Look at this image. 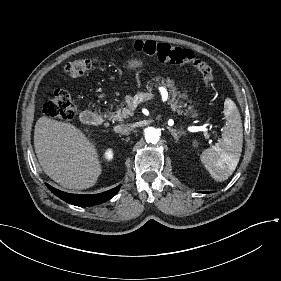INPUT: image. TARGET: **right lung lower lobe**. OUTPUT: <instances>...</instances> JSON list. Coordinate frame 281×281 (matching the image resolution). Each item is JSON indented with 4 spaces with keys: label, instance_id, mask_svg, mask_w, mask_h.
I'll return each instance as SVG.
<instances>
[{
    "label": "right lung lower lobe",
    "instance_id": "right-lung-lower-lobe-1",
    "mask_svg": "<svg viewBox=\"0 0 281 281\" xmlns=\"http://www.w3.org/2000/svg\"><path fill=\"white\" fill-rule=\"evenodd\" d=\"M49 190L58 196L60 199L76 206L85 207V206H93L100 203H103L109 199H111L120 189V185L99 193V194H92V195H80V194H69L66 192H62L58 189L53 188L52 186L46 184Z\"/></svg>",
    "mask_w": 281,
    "mask_h": 281
}]
</instances>
